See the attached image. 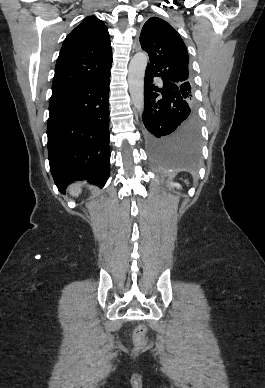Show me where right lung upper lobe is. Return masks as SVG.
Returning <instances> with one entry per match:
<instances>
[{"instance_id": "1", "label": "right lung upper lobe", "mask_w": 265, "mask_h": 388, "mask_svg": "<svg viewBox=\"0 0 265 388\" xmlns=\"http://www.w3.org/2000/svg\"><path fill=\"white\" fill-rule=\"evenodd\" d=\"M112 49L107 27L86 17L64 40L55 67L52 94L110 75Z\"/></svg>"}]
</instances>
